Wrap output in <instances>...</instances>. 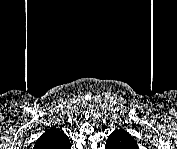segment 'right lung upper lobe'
Wrapping results in <instances>:
<instances>
[{"mask_svg": "<svg viewBox=\"0 0 177 149\" xmlns=\"http://www.w3.org/2000/svg\"><path fill=\"white\" fill-rule=\"evenodd\" d=\"M53 136L49 143H44V146H37L45 149H65L64 145L70 144L68 137L59 128L52 127L45 131L41 137Z\"/></svg>", "mask_w": 177, "mask_h": 149, "instance_id": "1", "label": "right lung upper lobe"}]
</instances>
